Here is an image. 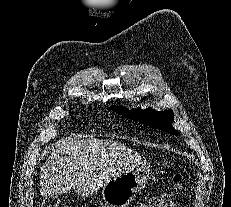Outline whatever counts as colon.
Wrapping results in <instances>:
<instances>
[{
    "instance_id": "1",
    "label": "colon",
    "mask_w": 231,
    "mask_h": 207,
    "mask_svg": "<svg viewBox=\"0 0 231 207\" xmlns=\"http://www.w3.org/2000/svg\"><path fill=\"white\" fill-rule=\"evenodd\" d=\"M182 178L181 173H175L173 177L175 182H180ZM42 207H63V205L60 200L50 198L44 202ZM137 207H179V204L172 194L163 193L149 198L147 202Z\"/></svg>"
}]
</instances>
